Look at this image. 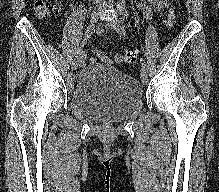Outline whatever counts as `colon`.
<instances>
[{
	"label": "colon",
	"mask_w": 219,
	"mask_h": 192,
	"mask_svg": "<svg viewBox=\"0 0 219 192\" xmlns=\"http://www.w3.org/2000/svg\"><path fill=\"white\" fill-rule=\"evenodd\" d=\"M33 8L37 16L41 18L50 17L55 11L54 6L48 0H35L33 3ZM174 21H175V14L173 10H170L165 19V26L171 27ZM100 60L107 63L112 62V59L106 54H103L100 57ZM121 60L126 64H135L138 61V51L137 50L126 51L121 56Z\"/></svg>",
	"instance_id": "1"
}]
</instances>
